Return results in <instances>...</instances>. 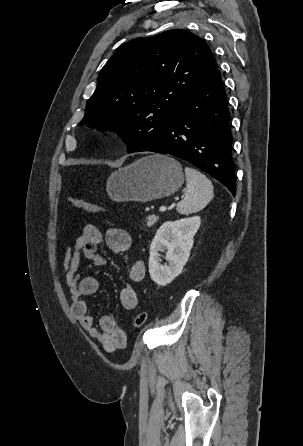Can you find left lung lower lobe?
Instances as JSON below:
<instances>
[{
    "label": "left lung lower lobe",
    "mask_w": 303,
    "mask_h": 446,
    "mask_svg": "<svg viewBox=\"0 0 303 446\" xmlns=\"http://www.w3.org/2000/svg\"><path fill=\"white\" fill-rule=\"evenodd\" d=\"M231 145L226 92L217 69L179 106L167 128L135 152L151 151L184 159L235 195Z\"/></svg>",
    "instance_id": "obj_1"
}]
</instances>
